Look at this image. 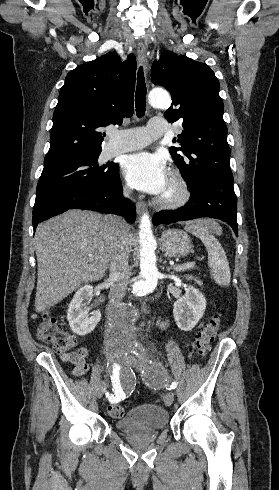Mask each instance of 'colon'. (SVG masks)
Returning <instances> with one entry per match:
<instances>
[{
	"label": "colon",
	"mask_w": 279,
	"mask_h": 490,
	"mask_svg": "<svg viewBox=\"0 0 279 490\" xmlns=\"http://www.w3.org/2000/svg\"><path fill=\"white\" fill-rule=\"evenodd\" d=\"M221 325L220 319L214 317L210 319L202 329L196 340V351L200 357L207 355L211 342L216 337V333ZM37 335L40 340L51 345L59 353H70V347H75L78 340L69 333L63 332L56 324L51 314L44 313L37 326ZM108 413L113 418H120L124 414V407L120 404H110Z\"/></svg>",
	"instance_id": "5ec220e1"
}]
</instances>
